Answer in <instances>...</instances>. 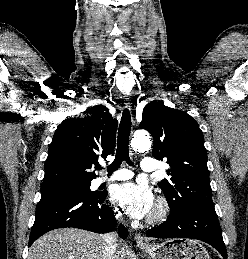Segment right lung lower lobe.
<instances>
[{
    "mask_svg": "<svg viewBox=\"0 0 248 259\" xmlns=\"http://www.w3.org/2000/svg\"><path fill=\"white\" fill-rule=\"evenodd\" d=\"M107 193L82 194L68 191L41 194L29 246L41 235L57 228L74 227L95 233L114 230L115 216L111 207L104 204ZM120 236L128 231L120 226Z\"/></svg>",
    "mask_w": 248,
    "mask_h": 259,
    "instance_id": "1",
    "label": "right lung lower lobe"
}]
</instances>
